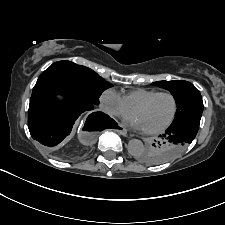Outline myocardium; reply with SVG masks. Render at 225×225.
<instances>
[{
  "mask_svg": "<svg viewBox=\"0 0 225 225\" xmlns=\"http://www.w3.org/2000/svg\"><path fill=\"white\" fill-rule=\"evenodd\" d=\"M163 95L169 96L172 99V102H173L172 114H171L170 118L168 119V121L166 123H164L162 126H160L158 128H155V129H144V132L147 133V134H158V133H161V132L165 131L167 128H169L172 125V123L174 122V120L176 118L177 112H178V101H177L176 96L173 93L169 92V91L157 92V93L151 95L150 97H148L147 99H145L144 101H142L141 103H139L133 109V114H134L136 111L146 107L149 103H151L157 97H160V96H163Z\"/></svg>",
  "mask_w": 225,
  "mask_h": 225,
  "instance_id": "myocardium-1",
  "label": "myocardium"
}]
</instances>
